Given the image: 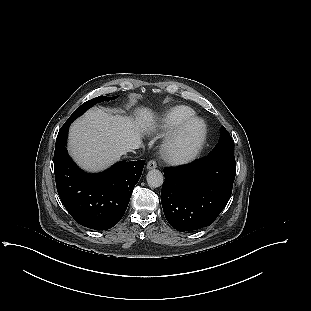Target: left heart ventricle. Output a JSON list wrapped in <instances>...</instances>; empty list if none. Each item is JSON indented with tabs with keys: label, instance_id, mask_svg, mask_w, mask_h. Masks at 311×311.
Returning a JSON list of instances; mask_svg holds the SVG:
<instances>
[{
	"label": "left heart ventricle",
	"instance_id": "1",
	"mask_svg": "<svg viewBox=\"0 0 311 311\" xmlns=\"http://www.w3.org/2000/svg\"><path fill=\"white\" fill-rule=\"evenodd\" d=\"M198 125H193L187 132L183 134L177 143V149L184 150L191 146L196 138Z\"/></svg>",
	"mask_w": 311,
	"mask_h": 311
}]
</instances>
